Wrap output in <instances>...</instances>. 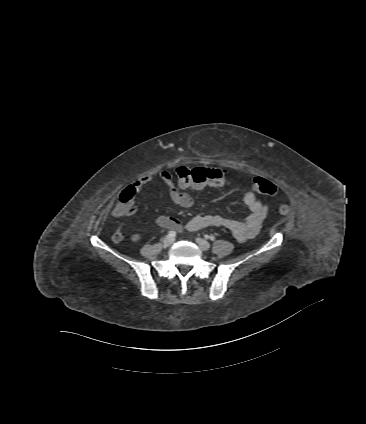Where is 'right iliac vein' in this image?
<instances>
[{"instance_id":"right-iliac-vein-1","label":"right iliac vein","mask_w":366,"mask_h":424,"mask_svg":"<svg viewBox=\"0 0 366 424\" xmlns=\"http://www.w3.org/2000/svg\"><path fill=\"white\" fill-rule=\"evenodd\" d=\"M174 243V238L173 237H171V236H166L164 239H163V245L165 246V247H169V246H171L172 244Z\"/></svg>"}]
</instances>
